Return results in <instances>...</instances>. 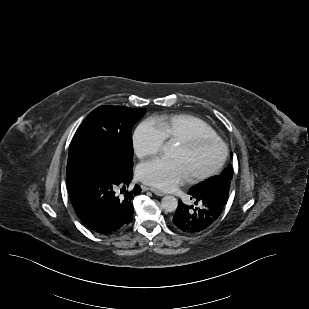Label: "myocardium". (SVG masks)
<instances>
[{"label": "myocardium", "mask_w": 309, "mask_h": 309, "mask_svg": "<svg viewBox=\"0 0 309 309\" xmlns=\"http://www.w3.org/2000/svg\"><path fill=\"white\" fill-rule=\"evenodd\" d=\"M178 143L182 144L184 147L190 150L197 149L200 146L207 143H215L216 145L219 146L220 154L215 166L205 173L190 176V180L192 182H202L207 179H210L211 177L217 175L224 166V163L228 155V147L220 137L207 134H196L181 139L178 141Z\"/></svg>", "instance_id": "myocardium-1"}]
</instances>
